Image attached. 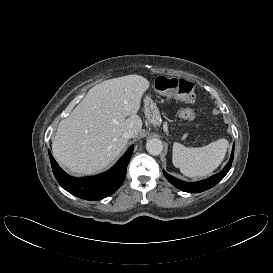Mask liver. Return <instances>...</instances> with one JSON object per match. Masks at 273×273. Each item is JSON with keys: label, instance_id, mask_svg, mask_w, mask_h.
Here are the masks:
<instances>
[{"label": "liver", "instance_id": "obj_1", "mask_svg": "<svg viewBox=\"0 0 273 273\" xmlns=\"http://www.w3.org/2000/svg\"><path fill=\"white\" fill-rule=\"evenodd\" d=\"M149 81L127 75L103 81L61 120L52 141L54 157L71 172L92 174L107 167L127 145L123 133L141 131L138 116Z\"/></svg>", "mask_w": 273, "mask_h": 273}]
</instances>
